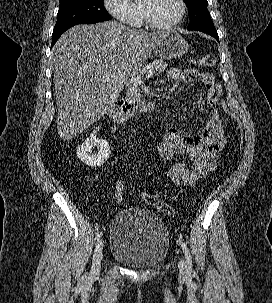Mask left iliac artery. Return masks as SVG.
<instances>
[{"instance_id": "1", "label": "left iliac artery", "mask_w": 272, "mask_h": 303, "mask_svg": "<svg viewBox=\"0 0 272 303\" xmlns=\"http://www.w3.org/2000/svg\"><path fill=\"white\" fill-rule=\"evenodd\" d=\"M181 246H182V250L185 255V258H186L187 267L191 271L192 270V257H191L190 251L185 243L182 242Z\"/></svg>"}]
</instances>
